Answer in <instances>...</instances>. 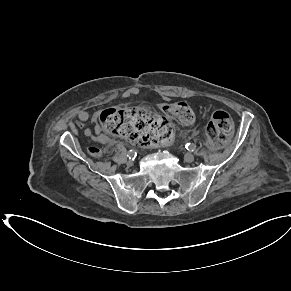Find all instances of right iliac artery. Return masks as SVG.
<instances>
[{
	"mask_svg": "<svg viewBox=\"0 0 291 291\" xmlns=\"http://www.w3.org/2000/svg\"><path fill=\"white\" fill-rule=\"evenodd\" d=\"M137 153L134 150H130L127 154L129 159H134L136 157Z\"/></svg>",
	"mask_w": 291,
	"mask_h": 291,
	"instance_id": "right-iliac-artery-1",
	"label": "right iliac artery"
}]
</instances>
